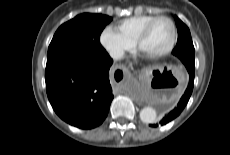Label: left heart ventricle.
I'll use <instances>...</instances> for the list:
<instances>
[{
    "label": "left heart ventricle",
    "mask_w": 230,
    "mask_h": 155,
    "mask_svg": "<svg viewBox=\"0 0 230 155\" xmlns=\"http://www.w3.org/2000/svg\"><path fill=\"white\" fill-rule=\"evenodd\" d=\"M172 38V27L166 20L156 21L141 44L145 53H156L168 47Z\"/></svg>",
    "instance_id": "b2bd125f"
}]
</instances>
